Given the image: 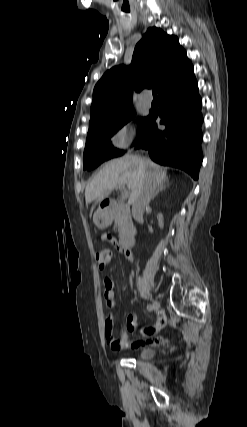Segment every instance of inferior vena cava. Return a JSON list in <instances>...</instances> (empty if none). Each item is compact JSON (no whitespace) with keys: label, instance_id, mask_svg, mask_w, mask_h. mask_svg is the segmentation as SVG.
<instances>
[{"label":"inferior vena cava","instance_id":"1","mask_svg":"<svg viewBox=\"0 0 247 427\" xmlns=\"http://www.w3.org/2000/svg\"><path fill=\"white\" fill-rule=\"evenodd\" d=\"M145 164L149 163V159H144ZM156 189V180L151 173H146L143 186L140 192L132 201V214L135 219L142 217L145 208L149 205V202L154 195Z\"/></svg>","mask_w":247,"mask_h":427}]
</instances>
